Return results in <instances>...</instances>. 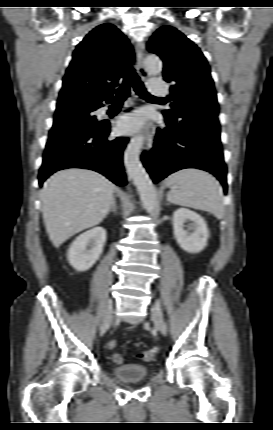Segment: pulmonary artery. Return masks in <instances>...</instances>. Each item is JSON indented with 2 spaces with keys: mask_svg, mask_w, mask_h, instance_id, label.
I'll return each instance as SVG.
<instances>
[{
  "mask_svg": "<svg viewBox=\"0 0 273 430\" xmlns=\"http://www.w3.org/2000/svg\"><path fill=\"white\" fill-rule=\"evenodd\" d=\"M150 91L156 96H165L167 94L165 85L161 80H153L150 83Z\"/></svg>",
  "mask_w": 273,
  "mask_h": 430,
  "instance_id": "1",
  "label": "pulmonary artery"
}]
</instances>
